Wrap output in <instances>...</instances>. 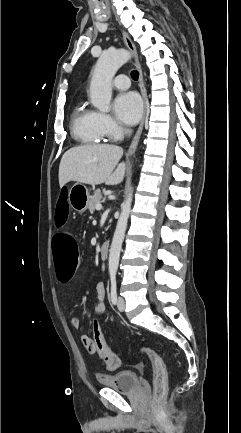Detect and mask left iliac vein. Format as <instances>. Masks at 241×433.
Instances as JSON below:
<instances>
[{
	"instance_id": "4c4485c4",
	"label": "left iliac vein",
	"mask_w": 241,
	"mask_h": 433,
	"mask_svg": "<svg viewBox=\"0 0 241 433\" xmlns=\"http://www.w3.org/2000/svg\"><path fill=\"white\" fill-rule=\"evenodd\" d=\"M117 307L120 311H124L125 310V300L123 297H118L117 300Z\"/></svg>"
}]
</instances>
